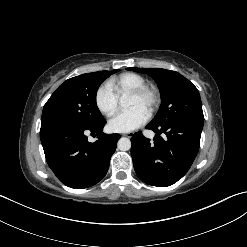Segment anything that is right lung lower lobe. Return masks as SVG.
I'll list each match as a JSON object with an SVG mask.
<instances>
[{
	"instance_id": "1",
	"label": "right lung lower lobe",
	"mask_w": 247,
	"mask_h": 247,
	"mask_svg": "<svg viewBox=\"0 0 247 247\" xmlns=\"http://www.w3.org/2000/svg\"><path fill=\"white\" fill-rule=\"evenodd\" d=\"M106 120L93 126L66 123L41 127L40 139L46 161L66 186L83 189L95 185L106 175L115 152L119 134H104ZM96 134L98 140L88 141L86 134Z\"/></svg>"
}]
</instances>
